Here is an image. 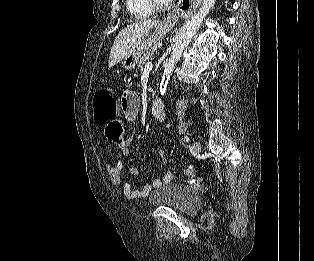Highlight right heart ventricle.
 I'll return each instance as SVG.
<instances>
[{
	"label": "right heart ventricle",
	"mask_w": 314,
	"mask_h": 261,
	"mask_svg": "<svg viewBox=\"0 0 314 261\" xmlns=\"http://www.w3.org/2000/svg\"><path fill=\"white\" fill-rule=\"evenodd\" d=\"M126 7L130 15L135 19L149 18L153 16L154 9L148 0H126Z\"/></svg>",
	"instance_id": "e07e8e85"
}]
</instances>
